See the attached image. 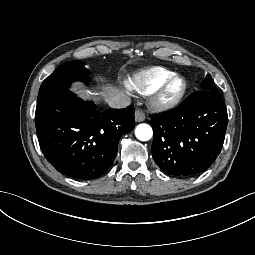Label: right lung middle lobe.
Listing matches in <instances>:
<instances>
[{
	"instance_id": "1",
	"label": "right lung middle lobe",
	"mask_w": 255,
	"mask_h": 255,
	"mask_svg": "<svg viewBox=\"0 0 255 255\" xmlns=\"http://www.w3.org/2000/svg\"><path fill=\"white\" fill-rule=\"evenodd\" d=\"M82 61H68L58 66L55 71L46 78L39 89L37 104L58 93L69 91L73 81H82L87 84L89 72Z\"/></svg>"
}]
</instances>
